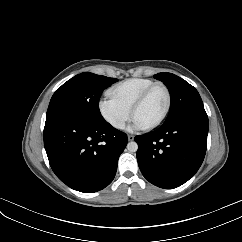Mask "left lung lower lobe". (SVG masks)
<instances>
[{
    "instance_id": "1",
    "label": "left lung lower lobe",
    "mask_w": 242,
    "mask_h": 242,
    "mask_svg": "<svg viewBox=\"0 0 242 242\" xmlns=\"http://www.w3.org/2000/svg\"><path fill=\"white\" fill-rule=\"evenodd\" d=\"M207 135L204 110L186 113L149 134L136 136L137 161L143 176L165 189L184 184L204 160Z\"/></svg>"
}]
</instances>
